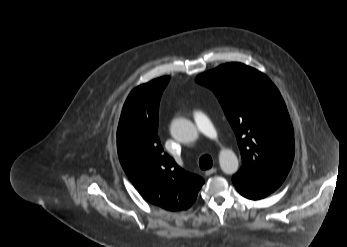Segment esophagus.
<instances>
[{
    "mask_svg": "<svg viewBox=\"0 0 347 247\" xmlns=\"http://www.w3.org/2000/svg\"><path fill=\"white\" fill-rule=\"evenodd\" d=\"M217 171V168L216 167H213L207 171H205V175L206 176H210L211 174L215 173Z\"/></svg>",
    "mask_w": 347,
    "mask_h": 247,
    "instance_id": "esophagus-1",
    "label": "esophagus"
}]
</instances>
